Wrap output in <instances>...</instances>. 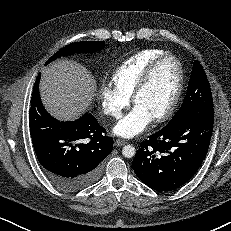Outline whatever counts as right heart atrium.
Returning a JSON list of instances; mask_svg holds the SVG:
<instances>
[{"instance_id":"obj_1","label":"right heart atrium","mask_w":231,"mask_h":231,"mask_svg":"<svg viewBox=\"0 0 231 231\" xmlns=\"http://www.w3.org/2000/svg\"><path fill=\"white\" fill-rule=\"evenodd\" d=\"M99 98L104 114L112 118H119L130 103V97L112 84L101 85Z\"/></svg>"}]
</instances>
